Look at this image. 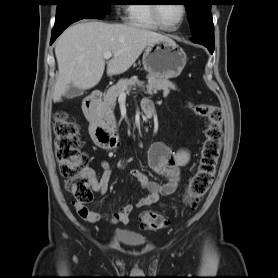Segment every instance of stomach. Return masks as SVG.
I'll return each mask as SVG.
<instances>
[{
	"label": "stomach",
	"instance_id": "1",
	"mask_svg": "<svg viewBox=\"0 0 278 278\" xmlns=\"http://www.w3.org/2000/svg\"><path fill=\"white\" fill-rule=\"evenodd\" d=\"M142 62L149 75L170 79L181 74L187 62V56L179 45L167 38L148 44Z\"/></svg>",
	"mask_w": 278,
	"mask_h": 278
}]
</instances>
